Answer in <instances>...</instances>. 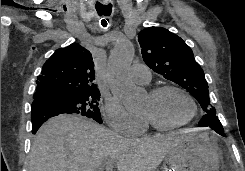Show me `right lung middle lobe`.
Returning a JSON list of instances; mask_svg holds the SVG:
<instances>
[{"mask_svg":"<svg viewBox=\"0 0 245 171\" xmlns=\"http://www.w3.org/2000/svg\"><path fill=\"white\" fill-rule=\"evenodd\" d=\"M100 93L82 95H52L46 101L56 105L64 112L77 113L88 118H92L98 123H102L98 101Z\"/></svg>","mask_w":245,"mask_h":171,"instance_id":"1","label":"right lung middle lobe"}]
</instances>
